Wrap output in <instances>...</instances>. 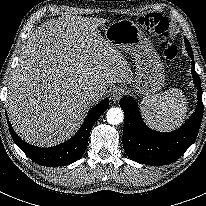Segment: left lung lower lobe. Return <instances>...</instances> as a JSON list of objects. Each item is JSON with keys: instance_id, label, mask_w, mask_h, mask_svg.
<instances>
[{"instance_id": "1", "label": "left lung lower lobe", "mask_w": 206, "mask_h": 206, "mask_svg": "<svg viewBox=\"0 0 206 206\" xmlns=\"http://www.w3.org/2000/svg\"><path fill=\"white\" fill-rule=\"evenodd\" d=\"M186 49L192 59L191 71L193 82L198 89V103L195 112L179 129L169 133L156 132L145 125L133 98L123 97L120 100V106L125 114L123 147L133 161L153 166L174 162L197 137L203 116L202 88L195 71L191 47Z\"/></svg>"}]
</instances>
